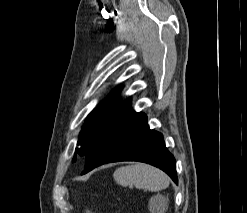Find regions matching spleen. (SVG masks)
<instances>
[{
	"label": "spleen",
	"mask_w": 247,
	"mask_h": 213,
	"mask_svg": "<svg viewBox=\"0 0 247 213\" xmlns=\"http://www.w3.org/2000/svg\"><path fill=\"white\" fill-rule=\"evenodd\" d=\"M113 177L122 186L134 185L138 189H147L151 192L161 191L170 183L164 172L141 163L120 167L115 170Z\"/></svg>",
	"instance_id": "1"
}]
</instances>
